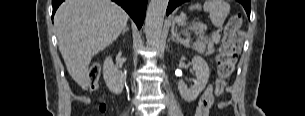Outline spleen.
I'll use <instances>...</instances> for the list:
<instances>
[{"label": "spleen", "instance_id": "1", "mask_svg": "<svg viewBox=\"0 0 305 116\" xmlns=\"http://www.w3.org/2000/svg\"><path fill=\"white\" fill-rule=\"evenodd\" d=\"M201 10V4L191 5L189 10ZM203 9L210 13V19L215 27L221 28L230 11V6L223 0H207L203 5ZM198 25H193V30H198Z\"/></svg>", "mask_w": 305, "mask_h": 116}]
</instances>
